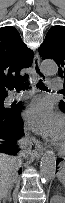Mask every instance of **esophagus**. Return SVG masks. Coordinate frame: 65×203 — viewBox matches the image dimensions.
<instances>
[{
  "mask_svg": "<svg viewBox=\"0 0 65 203\" xmlns=\"http://www.w3.org/2000/svg\"><path fill=\"white\" fill-rule=\"evenodd\" d=\"M33 70L35 73V77L33 79L34 85L36 80H46V75L42 73L40 69V57L38 54H36L34 57ZM29 150L32 156L39 158L42 155L44 148L40 141L36 140L35 138H31L29 143Z\"/></svg>",
  "mask_w": 65,
  "mask_h": 203,
  "instance_id": "1",
  "label": "esophagus"
}]
</instances>
